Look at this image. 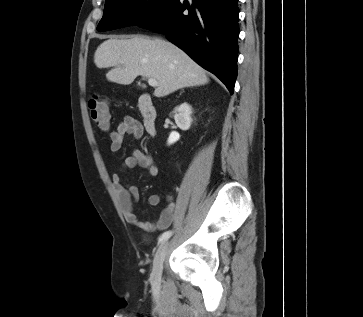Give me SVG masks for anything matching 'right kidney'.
I'll return each mask as SVG.
<instances>
[{
    "instance_id": "ca27d5eb",
    "label": "right kidney",
    "mask_w": 363,
    "mask_h": 317,
    "mask_svg": "<svg viewBox=\"0 0 363 317\" xmlns=\"http://www.w3.org/2000/svg\"><path fill=\"white\" fill-rule=\"evenodd\" d=\"M174 112L177 126L183 131L188 130L192 123V107L188 103H182L174 109Z\"/></svg>"
}]
</instances>
